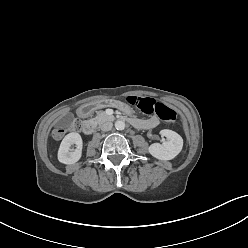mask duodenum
<instances>
[{
  "instance_id": "410a0bca",
  "label": "duodenum",
  "mask_w": 248,
  "mask_h": 248,
  "mask_svg": "<svg viewBox=\"0 0 248 248\" xmlns=\"http://www.w3.org/2000/svg\"><path fill=\"white\" fill-rule=\"evenodd\" d=\"M92 104L84 107L81 109L80 114L82 117L88 116L93 112V110L90 109V106ZM129 122L133 125L139 124V121L135 119H130ZM96 124L93 121H86L82 123V130L85 134H92L95 130Z\"/></svg>"
}]
</instances>
